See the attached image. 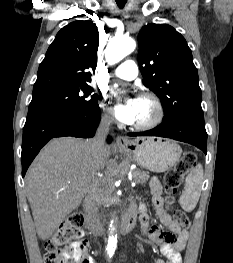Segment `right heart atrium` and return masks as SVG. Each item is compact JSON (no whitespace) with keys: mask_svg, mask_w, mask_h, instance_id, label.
I'll return each mask as SVG.
<instances>
[{"mask_svg":"<svg viewBox=\"0 0 233 263\" xmlns=\"http://www.w3.org/2000/svg\"><path fill=\"white\" fill-rule=\"evenodd\" d=\"M102 106L104 107V110H105V112L102 116L103 121L105 123H111L112 122V116H111L109 110L107 108H105L104 104H102Z\"/></svg>","mask_w":233,"mask_h":263,"instance_id":"obj_1","label":"right heart atrium"}]
</instances>
